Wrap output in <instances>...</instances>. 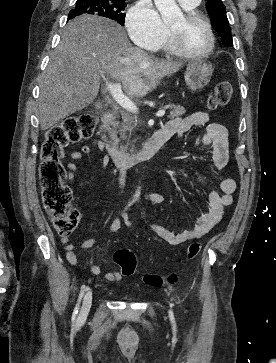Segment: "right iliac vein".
Here are the masks:
<instances>
[{
    "label": "right iliac vein",
    "mask_w": 276,
    "mask_h": 363,
    "mask_svg": "<svg viewBox=\"0 0 276 363\" xmlns=\"http://www.w3.org/2000/svg\"><path fill=\"white\" fill-rule=\"evenodd\" d=\"M92 303V290L89 289L84 295L82 306L79 313V319L87 317Z\"/></svg>",
    "instance_id": "1"
}]
</instances>
